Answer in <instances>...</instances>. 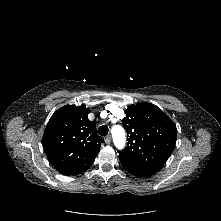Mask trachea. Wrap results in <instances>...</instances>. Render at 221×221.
<instances>
[{
	"label": "trachea",
	"instance_id": "obj_1",
	"mask_svg": "<svg viewBox=\"0 0 221 221\" xmlns=\"http://www.w3.org/2000/svg\"><path fill=\"white\" fill-rule=\"evenodd\" d=\"M108 131H109V129L106 125H102L98 128V133L101 136H106L108 134Z\"/></svg>",
	"mask_w": 221,
	"mask_h": 221
}]
</instances>
